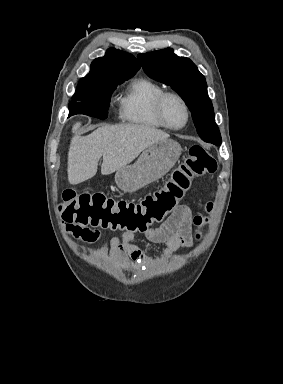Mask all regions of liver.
I'll use <instances>...</instances> for the list:
<instances>
[{
	"label": "liver",
	"instance_id": "liver-1",
	"mask_svg": "<svg viewBox=\"0 0 283 384\" xmlns=\"http://www.w3.org/2000/svg\"><path fill=\"white\" fill-rule=\"evenodd\" d=\"M80 126V122L74 124L73 134ZM167 138H170L169 134L162 130L138 124L102 126L89 136H73L68 152V182L81 184L93 178L102 156L101 174H113L133 162L143 150Z\"/></svg>",
	"mask_w": 283,
	"mask_h": 384
}]
</instances>
